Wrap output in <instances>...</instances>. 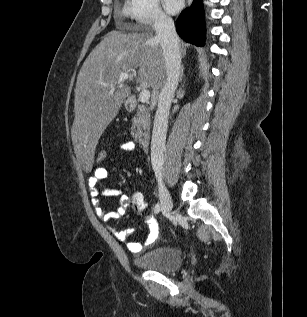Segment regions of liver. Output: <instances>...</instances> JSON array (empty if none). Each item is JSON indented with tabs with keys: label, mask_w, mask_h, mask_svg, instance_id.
<instances>
[{
	"label": "liver",
	"mask_w": 307,
	"mask_h": 317,
	"mask_svg": "<svg viewBox=\"0 0 307 317\" xmlns=\"http://www.w3.org/2000/svg\"><path fill=\"white\" fill-rule=\"evenodd\" d=\"M182 51L185 48L182 45ZM130 73L142 88H162L166 82L163 53L149 30L112 31L83 63L75 88V118L71 130L74 153L83 172H92L95 147L102 133L131 93L128 85L115 88L121 73Z\"/></svg>",
	"instance_id": "obj_1"
}]
</instances>
